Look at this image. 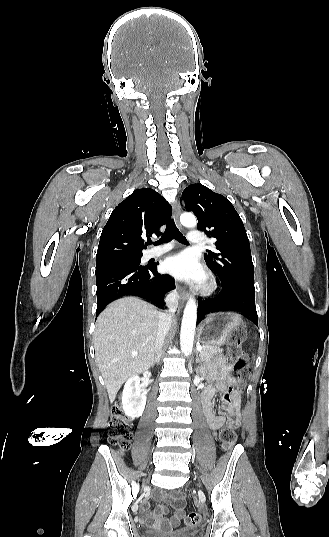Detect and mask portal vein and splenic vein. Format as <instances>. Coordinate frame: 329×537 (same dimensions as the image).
Segmentation results:
<instances>
[{"label":"portal vein and splenic vein","mask_w":329,"mask_h":537,"mask_svg":"<svg viewBox=\"0 0 329 537\" xmlns=\"http://www.w3.org/2000/svg\"><path fill=\"white\" fill-rule=\"evenodd\" d=\"M197 350H198V351H201V350H202V347H201V346H197ZM132 355H133V356H137V353H136V352H133Z\"/></svg>","instance_id":"portal-vein-and-splenic-vein-1"}]
</instances>
